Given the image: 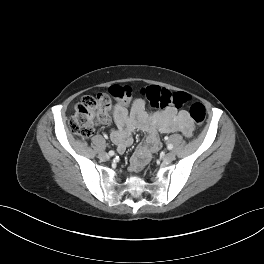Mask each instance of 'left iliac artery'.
<instances>
[{
	"label": "left iliac artery",
	"mask_w": 264,
	"mask_h": 264,
	"mask_svg": "<svg viewBox=\"0 0 264 264\" xmlns=\"http://www.w3.org/2000/svg\"><path fill=\"white\" fill-rule=\"evenodd\" d=\"M165 139L168 140V137H165ZM167 148H168L169 150H172V149H173V145H172V144H168Z\"/></svg>",
	"instance_id": "1"
}]
</instances>
